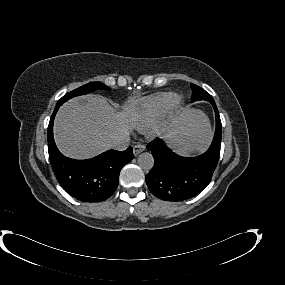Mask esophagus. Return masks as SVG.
I'll list each match as a JSON object with an SVG mask.
<instances>
[{"label": "esophagus", "mask_w": 285, "mask_h": 285, "mask_svg": "<svg viewBox=\"0 0 285 285\" xmlns=\"http://www.w3.org/2000/svg\"><path fill=\"white\" fill-rule=\"evenodd\" d=\"M145 150V145L143 144H137L133 148V153L135 156H138L141 152Z\"/></svg>", "instance_id": "34e87169"}]
</instances>
